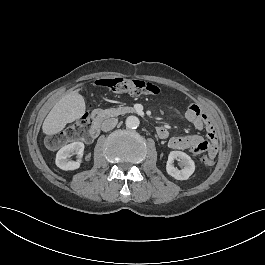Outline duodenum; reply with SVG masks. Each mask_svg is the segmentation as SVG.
Here are the masks:
<instances>
[{
    "instance_id": "1",
    "label": "duodenum",
    "mask_w": 265,
    "mask_h": 265,
    "mask_svg": "<svg viewBox=\"0 0 265 265\" xmlns=\"http://www.w3.org/2000/svg\"><path fill=\"white\" fill-rule=\"evenodd\" d=\"M91 115L94 118V122H93L92 128L95 131L100 132V122H99V119L104 115V111L102 109H94L92 111ZM157 135L159 137H163L165 135V133H164L163 130H159V131H157Z\"/></svg>"
}]
</instances>
